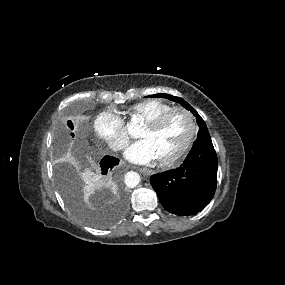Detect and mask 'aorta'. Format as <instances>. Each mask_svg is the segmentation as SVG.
<instances>
[{
    "instance_id": "obj_1",
    "label": "aorta",
    "mask_w": 285,
    "mask_h": 285,
    "mask_svg": "<svg viewBox=\"0 0 285 285\" xmlns=\"http://www.w3.org/2000/svg\"><path fill=\"white\" fill-rule=\"evenodd\" d=\"M140 182V176L136 172H128L125 176V183L128 187H135Z\"/></svg>"
}]
</instances>
